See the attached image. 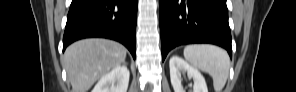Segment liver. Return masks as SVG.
Returning <instances> with one entry per match:
<instances>
[{"instance_id": "1", "label": "liver", "mask_w": 296, "mask_h": 92, "mask_svg": "<svg viewBox=\"0 0 296 92\" xmlns=\"http://www.w3.org/2000/svg\"><path fill=\"white\" fill-rule=\"evenodd\" d=\"M126 48L108 39H84L71 44L62 58L73 92H87L126 58Z\"/></svg>"}]
</instances>
